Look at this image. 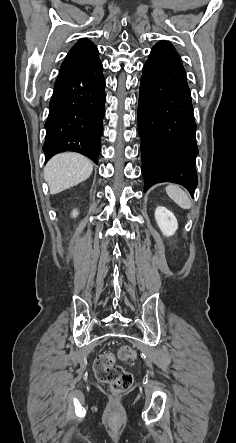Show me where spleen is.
<instances>
[{"label":"spleen","instance_id":"1","mask_svg":"<svg viewBox=\"0 0 236 443\" xmlns=\"http://www.w3.org/2000/svg\"><path fill=\"white\" fill-rule=\"evenodd\" d=\"M166 193L168 196L181 208L190 209L192 204L186 194L178 185L170 184L166 187Z\"/></svg>","mask_w":236,"mask_h":443}]
</instances>
